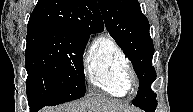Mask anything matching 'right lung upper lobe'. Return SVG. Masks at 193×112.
I'll use <instances>...</instances> for the list:
<instances>
[{
	"label": "right lung upper lobe",
	"instance_id": "cb5924a9",
	"mask_svg": "<svg viewBox=\"0 0 193 112\" xmlns=\"http://www.w3.org/2000/svg\"><path fill=\"white\" fill-rule=\"evenodd\" d=\"M61 30L98 33L104 30L97 0H38L27 32Z\"/></svg>",
	"mask_w": 193,
	"mask_h": 112
}]
</instances>
